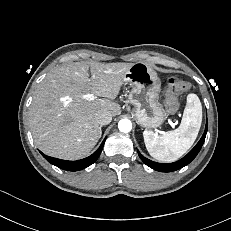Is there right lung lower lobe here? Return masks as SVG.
<instances>
[{
  "label": "right lung lower lobe",
  "mask_w": 231,
  "mask_h": 231,
  "mask_svg": "<svg viewBox=\"0 0 231 231\" xmlns=\"http://www.w3.org/2000/svg\"><path fill=\"white\" fill-rule=\"evenodd\" d=\"M104 142H105V139L101 143L100 147L92 155H90L87 158L77 160V161L61 160V159L46 156L42 152H40V153L43 155V157L48 162H50L51 164H53V165H55V166H57L63 170L78 171V170H82V169L90 166L91 164H93L97 160V158L99 157V155L103 149Z\"/></svg>",
  "instance_id": "98d812e1"
}]
</instances>
